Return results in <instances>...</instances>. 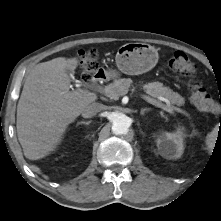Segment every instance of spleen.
<instances>
[{"label": "spleen", "mask_w": 221, "mask_h": 221, "mask_svg": "<svg viewBox=\"0 0 221 221\" xmlns=\"http://www.w3.org/2000/svg\"><path fill=\"white\" fill-rule=\"evenodd\" d=\"M215 131H217V127H216ZM215 131L207 136L206 143L209 148H212V146L214 144L215 137H216Z\"/></svg>", "instance_id": "obj_1"}]
</instances>
